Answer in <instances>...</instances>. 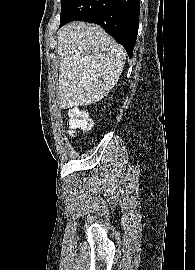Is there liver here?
Returning a JSON list of instances; mask_svg holds the SVG:
<instances>
[{
  "label": "liver",
  "instance_id": "6515ba94",
  "mask_svg": "<svg viewBox=\"0 0 195 270\" xmlns=\"http://www.w3.org/2000/svg\"><path fill=\"white\" fill-rule=\"evenodd\" d=\"M58 105L85 106L101 100L122 73L126 52L101 27L72 22L58 32Z\"/></svg>",
  "mask_w": 195,
  "mask_h": 270
}]
</instances>
